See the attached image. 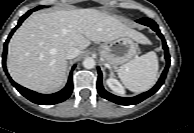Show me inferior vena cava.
<instances>
[{"label":"inferior vena cava","instance_id":"1","mask_svg":"<svg viewBox=\"0 0 194 133\" xmlns=\"http://www.w3.org/2000/svg\"><path fill=\"white\" fill-rule=\"evenodd\" d=\"M80 54V50L76 47H68L65 51L66 59L76 58Z\"/></svg>","mask_w":194,"mask_h":133}]
</instances>
